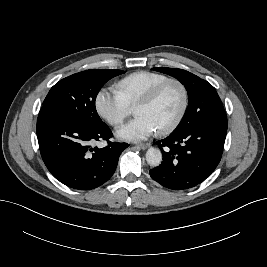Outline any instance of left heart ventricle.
Instances as JSON below:
<instances>
[{"instance_id": "obj_1", "label": "left heart ventricle", "mask_w": 267, "mask_h": 267, "mask_svg": "<svg viewBox=\"0 0 267 267\" xmlns=\"http://www.w3.org/2000/svg\"><path fill=\"white\" fill-rule=\"evenodd\" d=\"M182 106V93L176 84L167 85L150 105L138 106L137 116L148 117L157 131L169 126L178 116Z\"/></svg>"}]
</instances>
